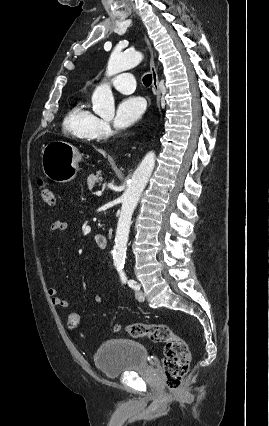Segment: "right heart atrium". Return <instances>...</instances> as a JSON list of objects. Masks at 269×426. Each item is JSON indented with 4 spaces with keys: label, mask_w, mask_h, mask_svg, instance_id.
I'll list each match as a JSON object with an SVG mask.
<instances>
[{
    "label": "right heart atrium",
    "mask_w": 269,
    "mask_h": 426,
    "mask_svg": "<svg viewBox=\"0 0 269 426\" xmlns=\"http://www.w3.org/2000/svg\"><path fill=\"white\" fill-rule=\"evenodd\" d=\"M112 133L111 127L109 123L103 119H98L96 128H95V135L99 139L107 138Z\"/></svg>",
    "instance_id": "1"
}]
</instances>
